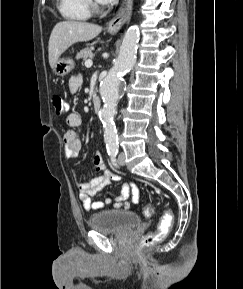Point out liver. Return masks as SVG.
Wrapping results in <instances>:
<instances>
[{
    "label": "liver",
    "mask_w": 243,
    "mask_h": 289,
    "mask_svg": "<svg viewBox=\"0 0 243 289\" xmlns=\"http://www.w3.org/2000/svg\"><path fill=\"white\" fill-rule=\"evenodd\" d=\"M102 27L80 21H61L53 28L48 44V58L50 67L53 68L59 57L71 45L94 39Z\"/></svg>",
    "instance_id": "6515ba94"
}]
</instances>
